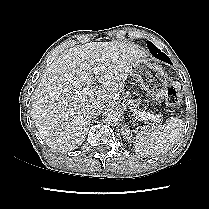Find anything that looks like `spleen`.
Here are the masks:
<instances>
[{
	"label": "spleen",
	"mask_w": 209,
	"mask_h": 209,
	"mask_svg": "<svg viewBox=\"0 0 209 209\" xmlns=\"http://www.w3.org/2000/svg\"><path fill=\"white\" fill-rule=\"evenodd\" d=\"M184 131L183 120L171 117L164 125L143 126L135 136L134 151L143 157H155L167 152L180 139Z\"/></svg>",
	"instance_id": "spleen-1"
}]
</instances>
